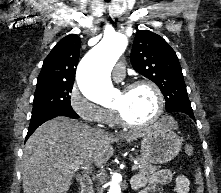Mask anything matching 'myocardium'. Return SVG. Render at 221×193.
Masks as SVG:
<instances>
[{"label": "myocardium", "mask_w": 221, "mask_h": 193, "mask_svg": "<svg viewBox=\"0 0 221 193\" xmlns=\"http://www.w3.org/2000/svg\"><path fill=\"white\" fill-rule=\"evenodd\" d=\"M139 86H148L152 89V91L155 94L156 102H157L156 110H155L154 115L148 121L139 123V122L129 121L119 108L114 107V112L116 114V118H117L118 122L122 126L127 127V128L140 129V128L149 127V126L155 124L163 114L164 96H163L161 89L153 81L148 80V79L135 80V81L129 83L128 85H126V87L123 89V91H130V90H132L136 87H139Z\"/></svg>", "instance_id": "1"}]
</instances>
